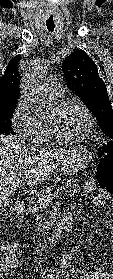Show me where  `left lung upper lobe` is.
<instances>
[{
	"label": "left lung upper lobe",
	"instance_id": "5c2ea615",
	"mask_svg": "<svg viewBox=\"0 0 113 279\" xmlns=\"http://www.w3.org/2000/svg\"><path fill=\"white\" fill-rule=\"evenodd\" d=\"M68 87L96 117L105 136L113 138V111L95 62L83 50L72 52L62 64Z\"/></svg>",
	"mask_w": 113,
	"mask_h": 279
}]
</instances>
